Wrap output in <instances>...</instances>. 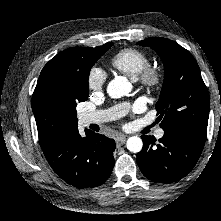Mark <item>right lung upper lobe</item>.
I'll use <instances>...</instances> for the list:
<instances>
[{
    "label": "right lung upper lobe",
    "instance_id": "obj_1",
    "mask_svg": "<svg viewBox=\"0 0 221 221\" xmlns=\"http://www.w3.org/2000/svg\"><path fill=\"white\" fill-rule=\"evenodd\" d=\"M101 46L73 47L58 53L42 69L32 97L42 150L70 129L77 128L76 110L67 99L70 75Z\"/></svg>",
    "mask_w": 221,
    "mask_h": 221
}]
</instances>
